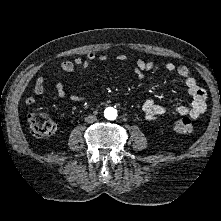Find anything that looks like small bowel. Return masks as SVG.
I'll list each match as a JSON object with an SVG mask.
<instances>
[{
  "mask_svg": "<svg viewBox=\"0 0 221 221\" xmlns=\"http://www.w3.org/2000/svg\"><path fill=\"white\" fill-rule=\"evenodd\" d=\"M109 59L110 57L106 54L96 55L94 53H88L84 58L78 57L74 60H64L60 62L57 66V69L65 73H71L75 69H80L81 71L86 72L93 66L96 60L106 62ZM116 60L119 62H124L128 60V57L124 54H120L116 56ZM153 68V62L139 59L136 62L134 73L138 79H142L144 77V72L152 70ZM164 69L168 73L177 74L184 82L188 93L192 97V103L190 106H178L173 110L174 114L178 116L188 115L192 118L200 117L207 108V92L198 84L197 80L191 74L190 69L184 65H176L173 62L165 63ZM45 87V79L43 77L37 78L33 87L34 94H43ZM55 90L58 98H66L65 87L62 82H58L56 84ZM71 99L75 101L81 100V98L77 96H72ZM35 101L36 100L34 96H27L25 98V103L28 105L34 104ZM141 111L146 119L154 120L164 113L165 107L156 100L149 99L142 103Z\"/></svg>",
  "mask_w": 221,
  "mask_h": 221,
  "instance_id": "obj_1",
  "label": "small bowel"
}]
</instances>
